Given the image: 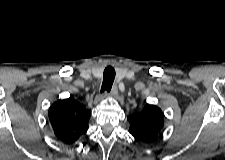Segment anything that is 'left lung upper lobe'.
<instances>
[{"label":"left lung upper lobe","mask_w":225,"mask_h":160,"mask_svg":"<svg viewBox=\"0 0 225 160\" xmlns=\"http://www.w3.org/2000/svg\"><path fill=\"white\" fill-rule=\"evenodd\" d=\"M130 134L140 142L152 141L163 127V113L154 105H147L142 112L128 116Z\"/></svg>","instance_id":"5c2ea615"}]
</instances>
